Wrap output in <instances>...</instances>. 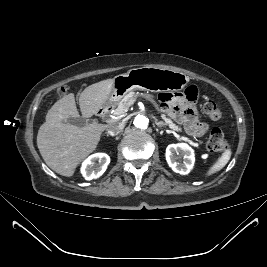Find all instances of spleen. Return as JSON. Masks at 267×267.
I'll return each mask as SVG.
<instances>
[{"mask_svg": "<svg viewBox=\"0 0 267 267\" xmlns=\"http://www.w3.org/2000/svg\"><path fill=\"white\" fill-rule=\"evenodd\" d=\"M231 150H226L218 160L209 168L207 171V176H210L218 171H220L229 162L231 158Z\"/></svg>", "mask_w": 267, "mask_h": 267, "instance_id": "3e777b00", "label": "spleen"}]
</instances>
